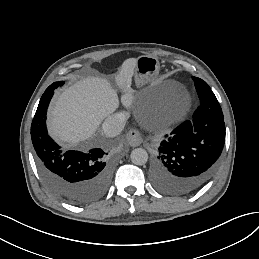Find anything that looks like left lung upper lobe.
<instances>
[{"instance_id": "5c2ea615", "label": "left lung upper lobe", "mask_w": 259, "mask_h": 259, "mask_svg": "<svg viewBox=\"0 0 259 259\" xmlns=\"http://www.w3.org/2000/svg\"><path fill=\"white\" fill-rule=\"evenodd\" d=\"M193 80L195 82V87H196L197 92L198 91L210 90L209 85L205 81H203L202 79L197 78V77H193Z\"/></svg>"}]
</instances>
